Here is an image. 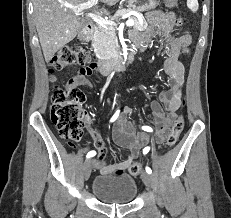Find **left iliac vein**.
<instances>
[{
  "label": "left iliac vein",
  "instance_id": "1",
  "mask_svg": "<svg viewBox=\"0 0 231 218\" xmlns=\"http://www.w3.org/2000/svg\"><path fill=\"white\" fill-rule=\"evenodd\" d=\"M142 181L147 187L151 186L152 178L147 172H142L141 174Z\"/></svg>",
  "mask_w": 231,
  "mask_h": 218
}]
</instances>
